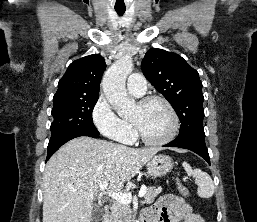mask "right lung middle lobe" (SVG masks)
I'll list each match as a JSON object with an SVG mask.
<instances>
[{"instance_id":"right-lung-middle-lobe-1","label":"right lung middle lobe","mask_w":257,"mask_h":222,"mask_svg":"<svg viewBox=\"0 0 257 222\" xmlns=\"http://www.w3.org/2000/svg\"><path fill=\"white\" fill-rule=\"evenodd\" d=\"M98 96L54 102L49 142L71 134L99 135L94 126L92 111Z\"/></svg>"}]
</instances>
